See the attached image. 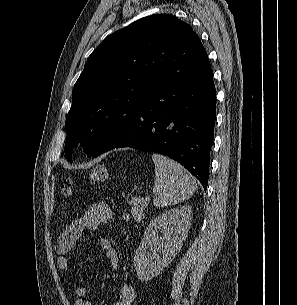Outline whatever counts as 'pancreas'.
Here are the masks:
<instances>
[{
	"label": "pancreas",
	"mask_w": 297,
	"mask_h": 305,
	"mask_svg": "<svg viewBox=\"0 0 297 305\" xmlns=\"http://www.w3.org/2000/svg\"><path fill=\"white\" fill-rule=\"evenodd\" d=\"M145 200L138 199L136 197L132 198L130 204L132 205L131 213L135 220L143 217V210L145 208Z\"/></svg>",
	"instance_id": "pancreas-1"
}]
</instances>
